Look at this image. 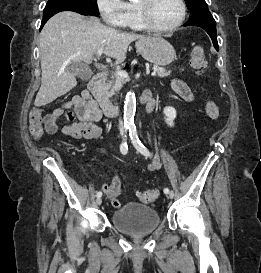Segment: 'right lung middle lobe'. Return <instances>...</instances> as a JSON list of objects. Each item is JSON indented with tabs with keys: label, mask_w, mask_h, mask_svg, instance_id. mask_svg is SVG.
Masks as SVG:
<instances>
[{
	"label": "right lung middle lobe",
	"mask_w": 261,
	"mask_h": 273,
	"mask_svg": "<svg viewBox=\"0 0 261 273\" xmlns=\"http://www.w3.org/2000/svg\"><path fill=\"white\" fill-rule=\"evenodd\" d=\"M76 1L83 3L91 15H99L97 0H49L44 9L43 16H53L60 11H74L70 9V7L75 4Z\"/></svg>",
	"instance_id": "1"
}]
</instances>
